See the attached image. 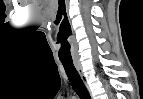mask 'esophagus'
I'll use <instances>...</instances> for the list:
<instances>
[{
	"instance_id": "esophagus-1",
	"label": "esophagus",
	"mask_w": 143,
	"mask_h": 99,
	"mask_svg": "<svg viewBox=\"0 0 143 99\" xmlns=\"http://www.w3.org/2000/svg\"><path fill=\"white\" fill-rule=\"evenodd\" d=\"M74 65H75V68H76V70L78 71V73H79L81 79H82L83 82L85 83V77H84V74H83V71H82V68H81L80 64L75 61V62H74Z\"/></svg>"
}]
</instances>
